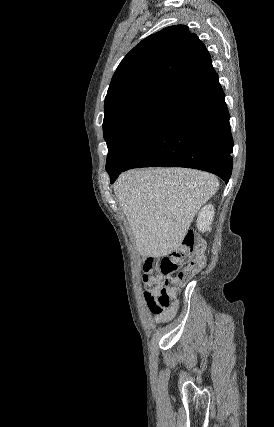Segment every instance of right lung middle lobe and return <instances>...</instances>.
Masks as SVG:
<instances>
[{"label": "right lung middle lobe", "instance_id": "dd1d6c3e", "mask_svg": "<svg viewBox=\"0 0 274 427\" xmlns=\"http://www.w3.org/2000/svg\"><path fill=\"white\" fill-rule=\"evenodd\" d=\"M175 101L167 95L150 94L106 111L103 122L109 150L106 166L126 163Z\"/></svg>", "mask_w": 274, "mask_h": 427}]
</instances>
